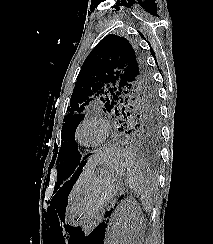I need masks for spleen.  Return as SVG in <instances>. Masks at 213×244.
<instances>
[{
    "label": "spleen",
    "instance_id": "3e777b00",
    "mask_svg": "<svg viewBox=\"0 0 213 244\" xmlns=\"http://www.w3.org/2000/svg\"><path fill=\"white\" fill-rule=\"evenodd\" d=\"M113 166L118 174L127 177L129 188L140 196L145 211L152 209V199L149 195L151 181L143 159L123 149H113Z\"/></svg>",
    "mask_w": 213,
    "mask_h": 244
}]
</instances>
